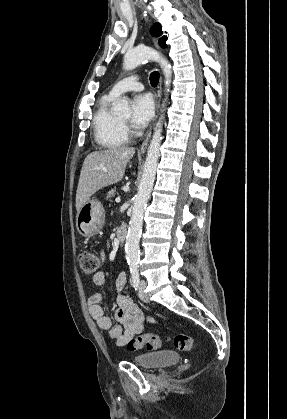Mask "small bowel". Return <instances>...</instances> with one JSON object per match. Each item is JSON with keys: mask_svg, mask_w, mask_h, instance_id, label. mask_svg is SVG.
<instances>
[{"mask_svg": "<svg viewBox=\"0 0 287 419\" xmlns=\"http://www.w3.org/2000/svg\"><path fill=\"white\" fill-rule=\"evenodd\" d=\"M104 272H98L93 277V282L97 286L105 283ZM127 276L120 273L115 281L117 290L115 311L116 325H113L110 318L104 314L101 306L102 295L100 292L93 293L88 299V308L91 317L100 329L106 332L109 338L115 340L119 346H125L135 335L142 332L146 322L153 323V316H145L134 304L131 296L125 292Z\"/></svg>", "mask_w": 287, "mask_h": 419, "instance_id": "small-bowel-1", "label": "small bowel"}]
</instances>
